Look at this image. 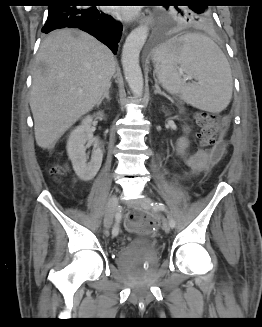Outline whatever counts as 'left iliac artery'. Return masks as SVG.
I'll list each match as a JSON object with an SVG mask.
<instances>
[{
    "mask_svg": "<svg viewBox=\"0 0 262 327\" xmlns=\"http://www.w3.org/2000/svg\"><path fill=\"white\" fill-rule=\"evenodd\" d=\"M152 206L154 209L168 212L166 206L162 202L152 203ZM169 224H170L171 228L175 227V220L173 219V217L170 214H169Z\"/></svg>",
    "mask_w": 262,
    "mask_h": 327,
    "instance_id": "1",
    "label": "left iliac artery"
}]
</instances>
